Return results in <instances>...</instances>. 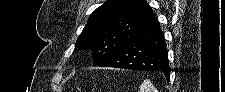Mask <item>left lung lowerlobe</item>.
Instances as JSON below:
<instances>
[{
    "label": "left lung lower lobe",
    "mask_w": 225,
    "mask_h": 92,
    "mask_svg": "<svg viewBox=\"0 0 225 92\" xmlns=\"http://www.w3.org/2000/svg\"><path fill=\"white\" fill-rule=\"evenodd\" d=\"M164 34L153 17L130 41L102 62L100 67L162 71L170 80Z\"/></svg>",
    "instance_id": "0a47b994"
}]
</instances>
